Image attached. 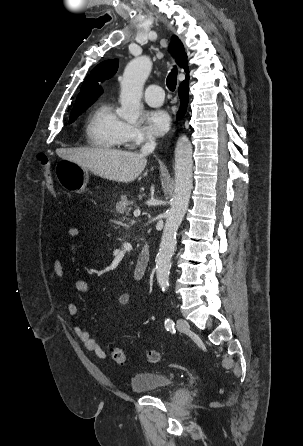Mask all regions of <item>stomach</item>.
I'll return each mask as SVG.
<instances>
[{
	"label": "stomach",
	"mask_w": 303,
	"mask_h": 446,
	"mask_svg": "<svg viewBox=\"0 0 303 446\" xmlns=\"http://www.w3.org/2000/svg\"><path fill=\"white\" fill-rule=\"evenodd\" d=\"M59 184L66 190L83 193L89 179V170L66 159L60 160L55 167Z\"/></svg>",
	"instance_id": "1"
}]
</instances>
